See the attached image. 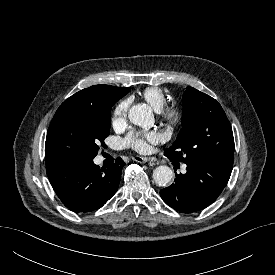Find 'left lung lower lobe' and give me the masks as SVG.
Wrapping results in <instances>:
<instances>
[{"mask_svg": "<svg viewBox=\"0 0 275 275\" xmlns=\"http://www.w3.org/2000/svg\"><path fill=\"white\" fill-rule=\"evenodd\" d=\"M185 174H175L174 183L162 190L163 201L182 213L202 210L212 204L226 186L233 165L199 160L188 163Z\"/></svg>", "mask_w": 275, "mask_h": 275, "instance_id": "left-lung-lower-lobe-1", "label": "left lung lower lobe"}]
</instances>
